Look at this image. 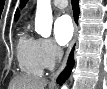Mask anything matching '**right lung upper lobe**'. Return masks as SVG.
<instances>
[{
  "mask_svg": "<svg viewBox=\"0 0 107 89\" xmlns=\"http://www.w3.org/2000/svg\"><path fill=\"white\" fill-rule=\"evenodd\" d=\"M17 18H18V13H16V15H15V20H17Z\"/></svg>",
  "mask_w": 107,
  "mask_h": 89,
  "instance_id": "cb5924a9",
  "label": "right lung upper lobe"
}]
</instances>
